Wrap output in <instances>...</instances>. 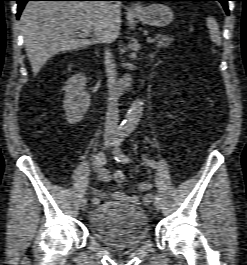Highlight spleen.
Returning a JSON list of instances; mask_svg holds the SVG:
<instances>
[{
	"mask_svg": "<svg viewBox=\"0 0 247 265\" xmlns=\"http://www.w3.org/2000/svg\"><path fill=\"white\" fill-rule=\"evenodd\" d=\"M207 27L210 31V37L216 45L221 44V37L219 32V26L213 17L207 18Z\"/></svg>",
	"mask_w": 247,
	"mask_h": 265,
	"instance_id": "3e777b00",
	"label": "spleen"
}]
</instances>
